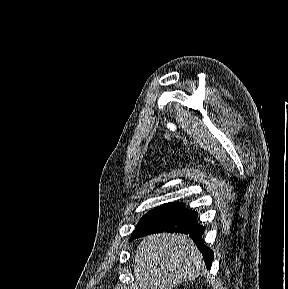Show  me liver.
Instances as JSON below:
<instances>
[{"mask_svg": "<svg viewBox=\"0 0 288 289\" xmlns=\"http://www.w3.org/2000/svg\"><path fill=\"white\" fill-rule=\"evenodd\" d=\"M203 269L200 251L184 234H152L136 250L134 274L140 289H173L194 280Z\"/></svg>", "mask_w": 288, "mask_h": 289, "instance_id": "obj_1", "label": "liver"}]
</instances>
